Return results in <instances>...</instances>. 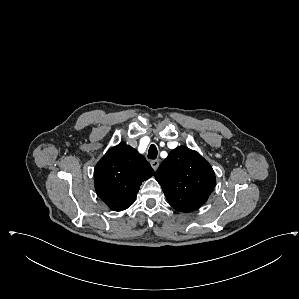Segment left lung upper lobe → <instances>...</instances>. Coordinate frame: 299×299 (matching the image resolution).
I'll list each match as a JSON object with an SVG mask.
<instances>
[{"label": "left lung upper lobe", "mask_w": 299, "mask_h": 299, "mask_svg": "<svg viewBox=\"0 0 299 299\" xmlns=\"http://www.w3.org/2000/svg\"><path fill=\"white\" fill-rule=\"evenodd\" d=\"M170 205L191 212L203 205L215 186V173L196 151L180 146L172 150L155 173Z\"/></svg>", "instance_id": "left-lung-upper-lobe-1"}]
</instances>
